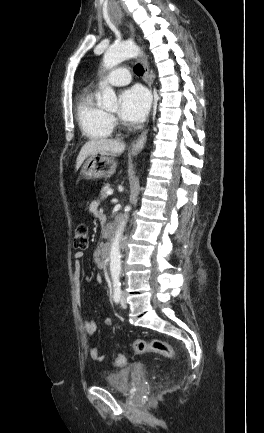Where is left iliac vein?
I'll list each match as a JSON object with an SVG mask.
<instances>
[{"label": "left iliac vein", "mask_w": 264, "mask_h": 433, "mask_svg": "<svg viewBox=\"0 0 264 433\" xmlns=\"http://www.w3.org/2000/svg\"><path fill=\"white\" fill-rule=\"evenodd\" d=\"M120 304H121V306H122L123 308H126V307H127V301H126L125 293H122V294H121V297H120Z\"/></svg>", "instance_id": "left-iliac-vein-1"}]
</instances>
